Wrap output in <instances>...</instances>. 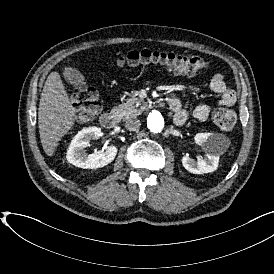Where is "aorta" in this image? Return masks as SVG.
Masks as SVG:
<instances>
[{"mask_svg": "<svg viewBox=\"0 0 274 274\" xmlns=\"http://www.w3.org/2000/svg\"><path fill=\"white\" fill-rule=\"evenodd\" d=\"M165 121L162 114L157 111L153 110L150 112L147 118V127L152 133H160L164 129Z\"/></svg>", "mask_w": 274, "mask_h": 274, "instance_id": "aorta-1", "label": "aorta"}]
</instances>
